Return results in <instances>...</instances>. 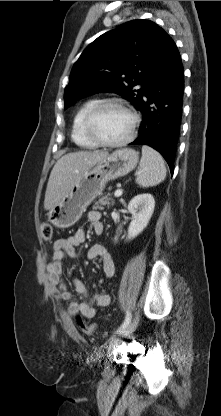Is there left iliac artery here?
I'll list each match as a JSON object with an SVG mask.
<instances>
[{
  "mask_svg": "<svg viewBox=\"0 0 221 416\" xmlns=\"http://www.w3.org/2000/svg\"><path fill=\"white\" fill-rule=\"evenodd\" d=\"M130 321H131V313L130 312H127V315L125 317V320L122 323V325L119 327V329L117 330V332H120L123 329H125L129 325Z\"/></svg>",
  "mask_w": 221,
  "mask_h": 416,
  "instance_id": "obj_1",
  "label": "left iliac artery"
}]
</instances>
